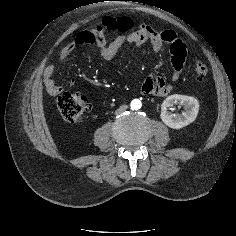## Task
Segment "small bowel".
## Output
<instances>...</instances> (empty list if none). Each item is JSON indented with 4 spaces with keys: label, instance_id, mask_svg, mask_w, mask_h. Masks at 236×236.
I'll use <instances>...</instances> for the list:
<instances>
[{
    "label": "small bowel",
    "instance_id": "obj_1",
    "mask_svg": "<svg viewBox=\"0 0 236 236\" xmlns=\"http://www.w3.org/2000/svg\"><path fill=\"white\" fill-rule=\"evenodd\" d=\"M117 21L118 19L116 18L106 17L102 23L94 28L80 31L71 42L61 49L58 60H65L68 56L86 45L97 46L100 55L107 61L113 59L125 43L135 46L150 43L152 49L156 52L161 51L167 45L173 69L171 81L176 82L179 80L188 55V47L184 40L180 39L172 30L157 31L144 23L133 29V23L130 19L129 24L122 29ZM107 32H120V34L110 42H107ZM55 71V66L49 64L44 68L42 75L44 87L50 96H58L63 92V87L57 84L53 78ZM140 90L141 93L146 95L166 96L171 92V86L161 76H148L142 82Z\"/></svg>",
    "mask_w": 236,
    "mask_h": 236
}]
</instances>
